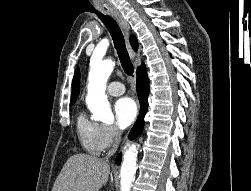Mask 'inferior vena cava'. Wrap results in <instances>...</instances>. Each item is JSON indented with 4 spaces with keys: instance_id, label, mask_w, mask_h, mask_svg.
Returning <instances> with one entry per match:
<instances>
[{
    "instance_id": "602c4592",
    "label": "inferior vena cava",
    "mask_w": 251,
    "mask_h": 191,
    "mask_svg": "<svg viewBox=\"0 0 251 191\" xmlns=\"http://www.w3.org/2000/svg\"><path fill=\"white\" fill-rule=\"evenodd\" d=\"M113 135H114V143L111 149H109L106 157H104V161H109L108 157H111V155H113V153H115V151H117L119 147V143L121 141V131L119 127H117V125H115L114 127Z\"/></svg>"
}]
</instances>
